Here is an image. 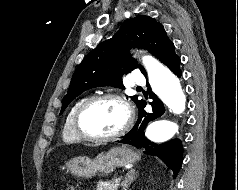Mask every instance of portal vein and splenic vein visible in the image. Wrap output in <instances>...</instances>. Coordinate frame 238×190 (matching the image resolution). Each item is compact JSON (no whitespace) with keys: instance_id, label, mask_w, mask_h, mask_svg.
<instances>
[{"instance_id":"1","label":"portal vein and splenic vein","mask_w":238,"mask_h":190,"mask_svg":"<svg viewBox=\"0 0 238 190\" xmlns=\"http://www.w3.org/2000/svg\"><path fill=\"white\" fill-rule=\"evenodd\" d=\"M121 181V178H119V179H116V183H118V182H120Z\"/></svg>"}]
</instances>
